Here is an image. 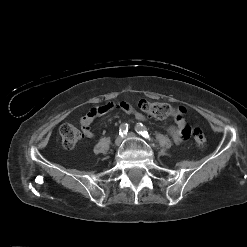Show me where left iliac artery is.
Masks as SVG:
<instances>
[{"label":"left iliac artery","mask_w":247,"mask_h":247,"mask_svg":"<svg viewBox=\"0 0 247 247\" xmlns=\"http://www.w3.org/2000/svg\"><path fill=\"white\" fill-rule=\"evenodd\" d=\"M135 130L138 134L142 135L143 137L147 138L150 140L149 134L147 132L146 127L142 123H138L135 126Z\"/></svg>","instance_id":"left-iliac-artery-1"}]
</instances>
